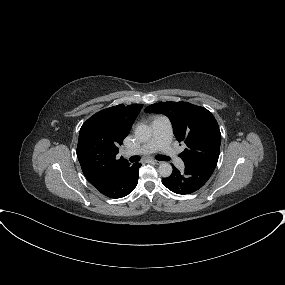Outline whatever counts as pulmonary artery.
I'll use <instances>...</instances> for the list:
<instances>
[{"instance_id":"pulmonary-artery-1","label":"pulmonary artery","mask_w":285,"mask_h":285,"mask_svg":"<svg viewBox=\"0 0 285 285\" xmlns=\"http://www.w3.org/2000/svg\"><path fill=\"white\" fill-rule=\"evenodd\" d=\"M152 128L153 135L151 139L137 148L134 152L145 155L161 150L173 161L178 169L183 170V161L177 156L171 145L172 127L169 119L165 116L154 117Z\"/></svg>"}]
</instances>
